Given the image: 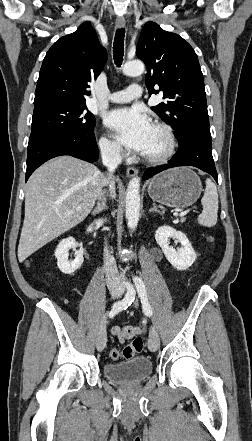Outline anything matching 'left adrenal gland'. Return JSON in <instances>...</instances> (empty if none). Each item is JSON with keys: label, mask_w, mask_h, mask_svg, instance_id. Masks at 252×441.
I'll return each instance as SVG.
<instances>
[{"label": "left adrenal gland", "mask_w": 252, "mask_h": 441, "mask_svg": "<svg viewBox=\"0 0 252 441\" xmlns=\"http://www.w3.org/2000/svg\"><path fill=\"white\" fill-rule=\"evenodd\" d=\"M149 212H157V213H159V214H162L161 211L157 209V207H156L155 204H153V208H151V209L149 210Z\"/></svg>", "instance_id": "left-adrenal-gland-1"}]
</instances>
